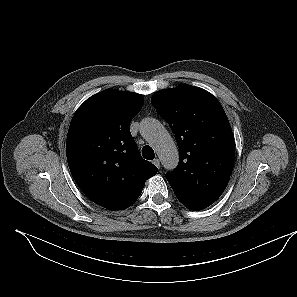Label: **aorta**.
<instances>
[{
    "instance_id": "762f6f07",
    "label": "aorta",
    "mask_w": 297,
    "mask_h": 297,
    "mask_svg": "<svg viewBox=\"0 0 297 297\" xmlns=\"http://www.w3.org/2000/svg\"><path fill=\"white\" fill-rule=\"evenodd\" d=\"M141 135L157 152L162 165L167 170L176 168L179 152L171 135L164 126L154 118H146L140 124Z\"/></svg>"
}]
</instances>
